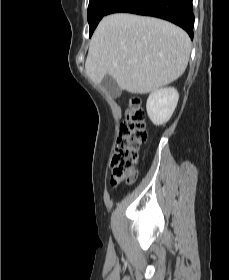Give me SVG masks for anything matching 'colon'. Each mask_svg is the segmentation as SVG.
<instances>
[{
    "mask_svg": "<svg viewBox=\"0 0 229 280\" xmlns=\"http://www.w3.org/2000/svg\"><path fill=\"white\" fill-rule=\"evenodd\" d=\"M126 105L125 122L120 128L110 160V168L114 179L132 183L135 180V174L131 171L139 162V150L147 140V131L141 98L131 96L127 99Z\"/></svg>",
    "mask_w": 229,
    "mask_h": 280,
    "instance_id": "colon-1",
    "label": "colon"
}]
</instances>
